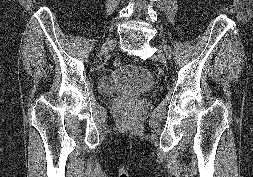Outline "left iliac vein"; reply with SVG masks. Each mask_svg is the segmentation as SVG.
Wrapping results in <instances>:
<instances>
[{
  "label": "left iliac vein",
  "mask_w": 253,
  "mask_h": 177,
  "mask_svg": "<svg viewBox=\"0 0 253 177\" xmlns=\"http://www.w3.org/2000/svg\"><path fill=\"white\" fill-rule=\"evenodd\" d=\"M163 50L166 51L167 53V56L170 55V47L167 46V45H164L163 47ZM161 47H158V50H157V57L158 59L165 65L167 63V57L165 56V54L163 53V50H162Z\"/></svg>",
  "instance_id": "1"
}]
</instances>
